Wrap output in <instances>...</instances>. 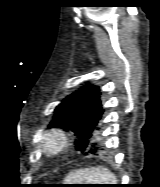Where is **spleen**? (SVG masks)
<instances>
[{
  "label": "spleen",
  "instance_id": "3e777b00",
  "mask_svg": "<svg viewBox=\"0 0 160 187\" xmlns=\"http://www.w3.org/2000/svg\"><path fill=\"white\" fill-rule=\"evenodd\" d=\"M67 184H114L115 176L103 167L77 169L66 178Z\"/></svg>",
  "mask_w": 160,
  "mask_h": 187
}]
</instances>
